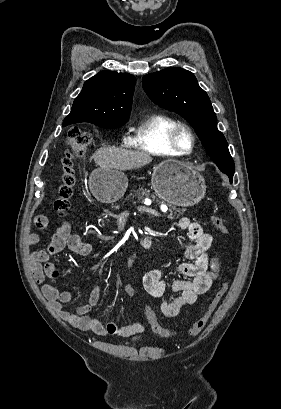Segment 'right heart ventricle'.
Wrapping results in <instances>:
<instances>
[{
    "instance_id": "1",
    "label": "right heart ventricle",
    "mask_w": 281,
    "mask_h": 409,
    "mask_svg": "<svg viewBox=\"0 0 281 409\" xmlns=\"http://www.w3.org/2000/svg\"><path fill=\"white\" fill-rule=\"evenodd\" d=\"M183 123L166 113H152L132 131L129 146L143 154L168 158L180 156L172 144L174 131Z\"/></svg>"
}]
</instances>
